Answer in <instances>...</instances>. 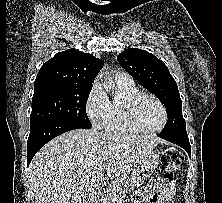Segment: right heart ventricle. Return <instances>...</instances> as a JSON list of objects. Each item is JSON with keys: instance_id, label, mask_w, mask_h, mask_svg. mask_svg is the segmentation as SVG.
Segmentation results:
<instances>
[{"instance_id": "right-heart-ventricle-1", "label": "right heart ventricle", "mask_w": 222, "mask_h": 203, "mask_svg": "<svg viewBox=\"0 0 222 203\" xmlns=\"http://www.w3.org/2000/svg\"><path fill=\"white\" fill-rule=\"evenodd\" d=\"M116 94L110 101L109 115L105 124L108 132L117 134H134L138 131L133 128L126 117L125 104L127 100L140 91L134 83H122L115 80Z\"/></svg>"}]
</instances>
